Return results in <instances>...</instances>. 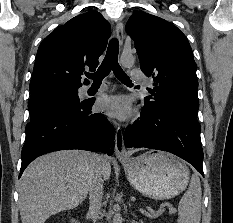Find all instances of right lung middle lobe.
<instances>
[{"label": "right lung middle lobe", "instance_id": "dd1d6c3e", "mask_svg": "<svg viewBox=\"0 0 233 223\" xmlns=\"http://www.w3.org/2000/svg\"><path fill=\"white\" fill-rule=\"evenodd\" d=\"M79 103L78 88L47 89L31 94L28 104L30 120L48 113L65 111L70 105Z\"/></svg>", "mask_w": 233, "mask_h": 223}]
</instances>
